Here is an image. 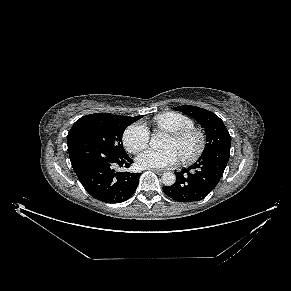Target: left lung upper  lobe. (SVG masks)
<instances>
[{
  "label": "left lung upper lobe",
  "instance_id": "obj_1",
  "mask_svg": "<svg viewBox=\"0 0 291 291\" xmlns=\"http://www.w3.org/2000/svg\"><path fill=\"white\" fill-rule=\"evenodd\" d=\"M195 119L205 130L207 144L201 156L222 147L230 148L231 139L223 121L214 113L196 106L184 105L173 108Z\"/></svg>",
  "mask_w": 291,
  "mask_h": 291
}]
</instances>
